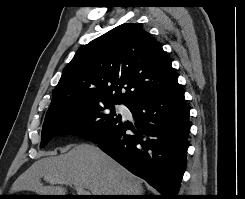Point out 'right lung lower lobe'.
Instances as JSON below:
<instances>
[{"label":"right lung lower lobe","instance_id":"right-lung-lower-lobe-1","mask_svg":"<svg viewBox=\"0 0 245 199\" xmlns=\"http://www.w3.org/2000/svg\"><path fill=\"white\" fill-rule=\"evenodd\" d=\"M126 106L135 126L120 119L89 141L156 188L160 199H178L190 130L189 110L180 85L176 82L161 93Z\"/></svg>","mask_w":245,"mask_h":199}]
</instances>
